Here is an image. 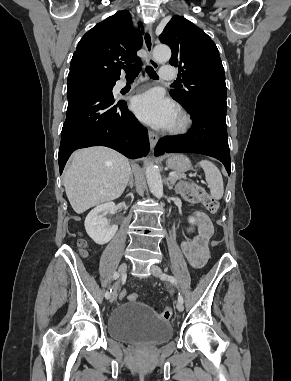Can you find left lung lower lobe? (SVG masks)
<instances>
[{
	"mask_svg": "<svg viewBox=\"0 0 291 381\" xmlns=\"http://www.w3.org/2000/svg\"><path fill=\"white\" fill-rule=\"evenodd\" d=\"M193 119L191 130L184 135L165 136L155 147L156 156L164 153H199L220 160L230 175L226 107L196 105L187 110Z\"/></svg>",
	"mask_w": 291,
	"mask_h": 381,
	"instance_id": "left-lung-lower-lobe-1",
	"label": "left lung lower lobe"
}]
</instances>
